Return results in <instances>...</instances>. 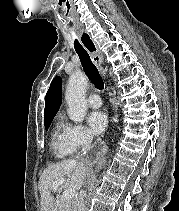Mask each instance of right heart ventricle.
<instances>
[{
    "label": "right heart ventricle",
    "mask_w": 179,
    "mask_h": 211,
    "mask_svg": "<svg viewBox=\"0 0 179 211\" xmlns=\"http://www.w3.org/2000/svg\"><path fill=\"white\" fill-rule=\"evenodd\" d=\"M51 151L57 158H65L73 152L64 137V125L60 121H57L53 128Z\"/></svg>",
    "instance_id": "e07e8e85"
}]
</instances>
